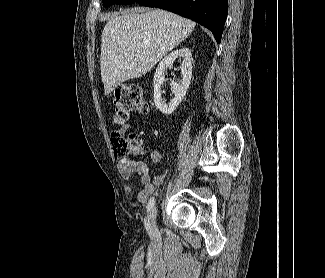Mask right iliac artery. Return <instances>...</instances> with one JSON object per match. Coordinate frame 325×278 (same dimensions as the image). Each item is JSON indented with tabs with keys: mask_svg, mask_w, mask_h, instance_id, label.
<instances>
[{
	"mask_svg": "<svg viewBox=\"0 0 325 278\" xmlns=\"http://www.w3.org/2000/svg\"><path fill=\"white\" fill-rule=\"evenodd\" d=\"M154 202H155V198L154 197H151L148 204H147V212H149L152 207L154 206ZM144 223H145V227H146V230L151 233L152 232V228H151V225L149 223V220H147V218H145L144 220Z\"/></svg>",
	"mask_w": 325,
	"mask_h": 278,
	"instance_id": "right-iliac-artery-1",
	"label": "right iliac artery"
}]
</instances>
